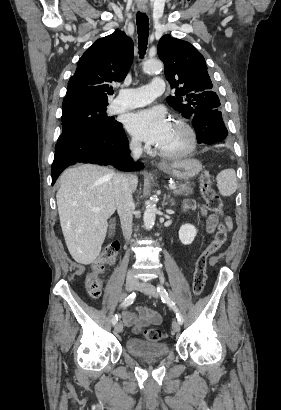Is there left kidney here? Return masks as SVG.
I'll list each match as a JSON object with an SVG mask.
<instances>
[{
  "label": "left kidney",
  "instance_id": "5707ae66",
  "mask_svg": "<svg viewBox=\"0 0 281 410\" xmlns=\"http://www.w3.org/2000/svg\"><path fill=\"white\" fill-rule=\"evenodd\" d=\"M197 229L191 224H184L179 229V239L184 245H189L196 237Z\"/></svg>",
  "mask_w": 281,
  "mask_h": 410
}]
</instances>
